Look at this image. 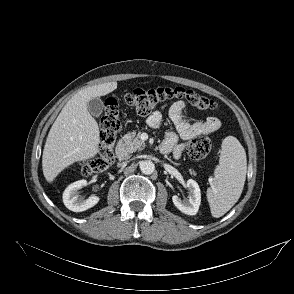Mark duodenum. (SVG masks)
I'll use <instances>...</instances> for the list:
<instances>
[{"label": "duodenum", "instance_id": "1", "mask_svg": "<svg viewBox=\"0 0 294 294\" xmlns=\"http://www.w3.org/2000/svg\"><path fill=\"white\" fill-rule=\"evenodd\" d=\"M116 155L119 159L124 160L127 157V142L125 138H121L116 146Z\"/></svg>", "mask_w": 294, "mask_h": 294}]
</instances>
